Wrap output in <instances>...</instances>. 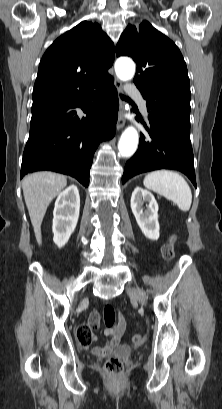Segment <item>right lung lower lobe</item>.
<instances>
[{
  "label": "right lung lower lobe",
  "mask_w": 222,
  "mask_h": 409,
  "mask_svg": "<svg viewBox=\"0 0 222 409\" xmlns=\"http://www.w3.org/2000/svg\"><path fill=\"white\" fill-rule=\"evenodd\" d=\"M118 105L111 77L79 99L33 111L21 178L34 171L50 170L75 177L87 187L95 150L102 140L115 134ZM76 107L87 116L79 118Z\"/></svg>",
  "instance_id": "obj_1"
}]
</instances>
